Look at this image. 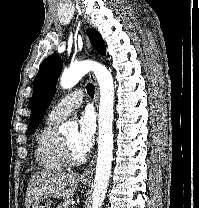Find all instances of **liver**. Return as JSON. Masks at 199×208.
Returning <instances> with one entry per match:
<instances>
[{
  "mask_svg": "<svg viewBox=\"0 0 199 208\" xmlns=\"http://www.w3.org/2000/svg\"><path fill=\"white\" fill-rule=\"evenodd\" d=\"M79 182L77 173L41 171L33 174L28 184L25 207L41 197L67 199L74 195Z\"/></svg>",
  "mask_w": 199,
  "mask_h": 208,
  "instance_id": "6515ba94",
  "label": "liver"
}]
</instances>
